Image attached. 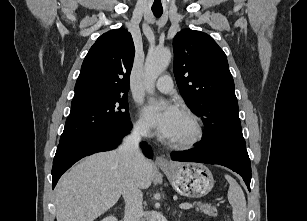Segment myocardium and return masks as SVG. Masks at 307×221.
<instances>
[{
    "label": "myocardium",
    "instance_id": "myocardium-1",
    "mask_svg": "<svg viewBox=\"0 0 307 221\" xmlns=\"http://www.w3.org/2000/svg\"><path fill=\"white\" fill-rule=\"evenodd\" d=\"M183 115L189 118L193 124V134L188 138L179 141H169V145L175 149H189L197 145L204 136V127L200 117L190 110H184Z\"/></svg>",
    "mask_w": 307,
    "mask_h": 221
}]
</instances>
